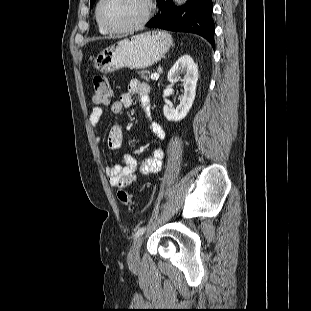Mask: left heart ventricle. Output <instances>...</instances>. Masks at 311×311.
Here are the masks:
<instances>
[{
  "instance_id": "1",
  "label": "left heart ventricle",
  "mask_w": 311,
  "mask_h": 311,
  "mask_svg": "<svg viewBox=\"0 0 311 311\" xmlns=\"http://www.w3.org/2000/svg\"><path fill=\"white\" fill-rule=\"evenodd\" d=\"M144 12L143 0H105L101 16L116 28L128 27L137 22Z\"/></svg>"
}]
</instances>
